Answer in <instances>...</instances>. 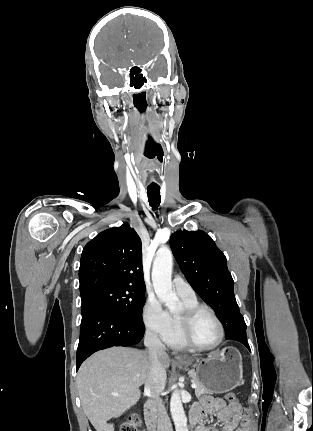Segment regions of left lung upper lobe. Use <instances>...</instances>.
Masks as SVG:
<instances>
[{"mask_svg": "<svg viewBox=\"0 0 313 431\" xmlns=\"http://www.w3.org/2000/svg\"><path fill=\"white\" fill-rule=\"evenodd\" d=\"M170 245L186 279L215 311L224 325L225 338L246 337V324L239 312L223 252L203 231H177Z\"/></svg>", "mask_w": 313, "mask_h": 431, "instance_id": "left-lung-upper-lobe-1", "label": "left lung upper lobe"}]
</instances>
